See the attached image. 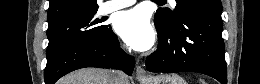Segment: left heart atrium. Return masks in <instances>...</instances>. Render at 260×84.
Returning <instances> with one entry per match:
<instances>
[{
    "label": "left heart atrium",
    "instance_id": "39dd6f15",
    "mask_svg": "<svg viewBox=\"0 0 260 84\" xmlns=\"http://www.w3.org/2000/svg\"><path fill=\"white\" fill-rule=\"evenodd\" d=\"M114 27L126 44L134 50H147L155 42V31L143 8L136 7L120 12L116 16Z\"/></svg>",
    "mask_w": 260,
    "mask_h": 84
}]
</instances>
